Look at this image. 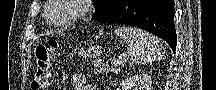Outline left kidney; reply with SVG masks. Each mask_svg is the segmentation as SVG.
Here are the masks:
<instances>
[{
	"instance_id": "1",
	"label": "left kidney",
	"mask_w": 216,
	"mask_h": 90,
	"mask_svg": "<svg viewBox=\"0 0 216 90\" xmlns=\"http://www.w3.org/2000/svg\"><path fill=\"white\" fill-rule=\"evenodd\" d=\"M119 90H151V76L148 74L131 76L120 84Z\"/></svg>"
}]
</instances>
